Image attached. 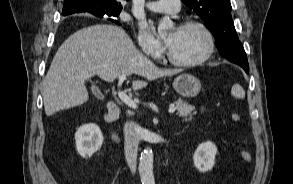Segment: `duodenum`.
Instances as JSON below:
<instances>
[{
    "mask_svg": "<svg viewBox=\"0 0 293 184\" xmlns=\"http://www.w3.org/2000/svg\"><path fill=\"white\" fill-rule=\"evenodd\" d=\"M119 113H120V107H119L118 103L115 101H110L108 103V110L102 117V121L104 123V126H105L109 136L116 143H120L121 138L118 135V133L114 130L113 123L118 118Z\"/></svg>",
    "mask_w": 293,
    "mask_h": 184,
    "instance_id": "duodenum-1",
    "label": "duodenum"
}]
</instances>
